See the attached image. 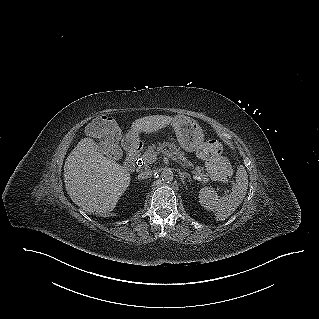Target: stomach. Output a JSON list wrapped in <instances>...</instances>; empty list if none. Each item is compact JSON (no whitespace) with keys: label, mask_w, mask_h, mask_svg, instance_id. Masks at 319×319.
<instances>
[{"label":"stomach","mask_w":319,"mask_h":319,"mask_svg":"<svg viewBox=\"0 0 319 319\" xmlns=\"http://www.w3.org/2000/svg\"><path fill=\"white\" fill-rule=\"evenodd\" d=\"M172 126L180 146L185 151H196L203 143V130L195 120L185 116H178ZM132 135L134 136L135 134L132 133Z\"/></svg>","instance_id":"stomach-1"}]
</instances>
